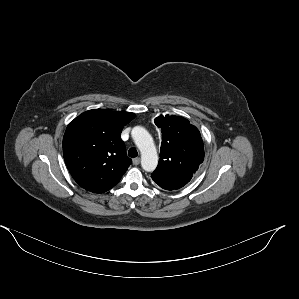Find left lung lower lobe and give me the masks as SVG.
<instances>
[{
	"label": "left lung lower lobe",
	"mask_w": 299,
	"mask_h": 299,
	"mask_svg": "<svg viewBox=\"0 0 299 299\" xmlns=\"http://www.w3.org/2000/svg\"><path fill=\"white\" fill-rule=\"evenodd\" d=\"M152 179L161 188L166 190H175L185 186L192 178L191 175H176V176H157L152 175Z\"/></svg>",
	"instance_id": "0a47b994"
}]
</instances>
